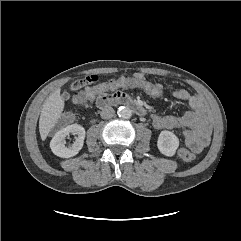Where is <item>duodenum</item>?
<instances>
[{
    "label": "duodenum",
    "instance_id": "duodenum-1",
    "mask_svg": "<svg viewBox=\"0 0 241 241\" xmlns=\"http://www.w3.org/2000/svg\"><path fill=\"white\" fill-rule=\"evenodd\" d=\"M114 104L126 105L130 107L136 114L140 116L145 115L144 108L122 92L102 93L96 100V105L100 109H105Z\"/></svg>",
    "mask_w": 241,
    "mask_h": 241
}]
</instances>
